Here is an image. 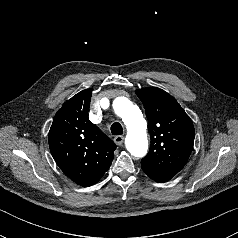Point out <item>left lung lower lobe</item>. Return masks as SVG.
Wrapping results in <instances>:
<instances>
[{"mask_svg": "<svg viewBox=\"0 0 238 238\" xmlns=\"http://www.w3.org/2000/svg\"><path fill=\"white\" fill-rule=\"evenodd\" d=\"M142 169L151 179H153L156 182H160V183L166 182L172 178L169 176H164V175L153 173L152 171L145 169V168H142Z\"/></svg>", "mask_w": 238, "mask_h": 238, "instance_id": "1", "label": "left lung lower lobe"}]
</instances>
